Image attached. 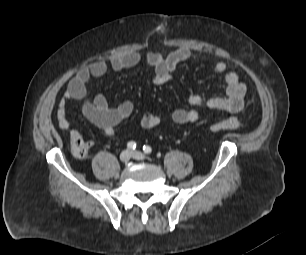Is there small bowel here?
<instances>
[{
	"label": "small bowel",
	"mask_w": 306,
	"mask_h": 255,
	"mask_svg": "<svg viewBox=\"0 0 306 255\" xmlns=\"http://www.w3.org/2000/svg\"><path fill=\"white\" fill-rule=\"evenodd\" d=\"M191 58V51L181 47L168 54L159 52H127L114 55L109 62L98 60L88 67L81 68L69 81L67 89L59 100L56 111L58 126L67 129V103L71 100L83 101L82 113L93 125L101 129L107 136H114L116 127L127 119L134 111L131 101H123L117 106H110L102 94L86 99L87 83L91 78L104 76L108 69L121 71L123 69L144 65L153 70V83L162 85L168 82L178 65ZM213 71L222 75L226 85L223 95L205 98L194 94L189 97L191 108L177 109L172 114V119L177 124L194 123L200 119V109L213 114L237 113L245 103L246 85L240 80L235 71L228 70L224 61H218L213 66ZM160 117L155 114H145L140 120L144 129H151L160 124Z\"/></svg>",
	"instance_id": "small-bowel-1"
}]
</instances>
